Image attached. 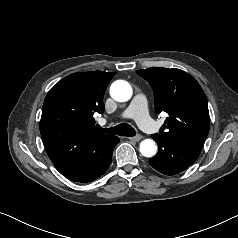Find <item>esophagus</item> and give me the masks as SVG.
<instances>
[{
	"mask_svg": "<svg viewBox=\"0 0 238 238\" xmlns=\"http://www.w3.org/2000/svg\"><path fill=\"white\" fill-rule=\"evenodd\" d=\"M128 139L131 140V141L138 142L142 139V136L141 135H136L134 137H129Z\"/></svg>",
	"mask_w": 238,
	"mask_h": 238,
	"instance_id": "obj_1",
	"label": "esophagus"
}]
</instances>
